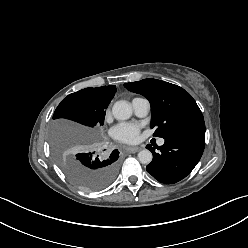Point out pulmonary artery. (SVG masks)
Returning a JSON list of instances; mask_svg holds the SVG:
<instances>
[{
    "label": "pulmonary artery",
    "instance_id": "obj_1",
    "mask_svg": "<svg viewBox=\"0 0 248 248\" xmlns=\"http://www.w3.org/2000/svg\"><path fill=\"white\" fill-rule=\"evenodd\" d=\"M132 107L137 116H146L150 109V104L145 98H135L132 100ZM159 145L164 144V139L159 140Z\"/></svg>",
    "mask_w": 248,
    "mask_h": 248
}]
</instances>
